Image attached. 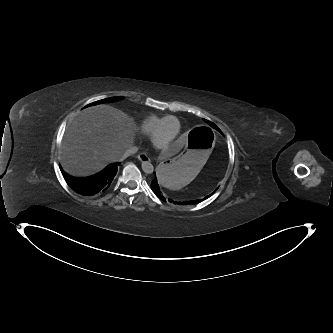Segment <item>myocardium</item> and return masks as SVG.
<instances>
[{"instance_id":"myocardium-1","label":"myocardium","mask_w":333,"mask_h":333,"mask_svg":"<svg viewBox=\"0 0 333 333\" xmlns=\"http://www.w3.org/2000/svg\"><path fill=\"white\" fill-rule=\"evenodd\" d=\"M170 119H177V117L173 116V115H169L167 116L159 125V127L157 128V130L153 133L151 140L152 143L158 147L160 150L163 151H167L169 149H171L177 142L178 139V134H179V128L177 129L176 134L174 135V137L172 139H170L169 141L166 142H161L160 141V135L162 133V130L164 128V125L166 124V122Z\"/></svg>"}]
</instances>
